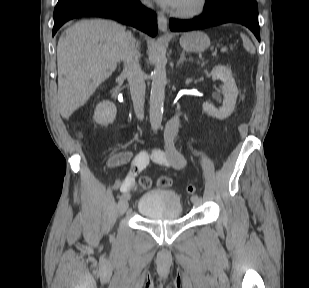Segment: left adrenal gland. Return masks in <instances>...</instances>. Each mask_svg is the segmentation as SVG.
Instances as JSON below:
<instances>
[{"label": "left adrenal gland", "mask_w": 309, "mask_h": 288, "mask_svg": "<svg viewBox=\"0 0 309 288\" xmlns=\"http://www.w3.org/2000/svg\"><path fill=\"white\" fill-rule=\"evenodd\" d=\"M187 60H190V59H187V58L185 57V52H184V51L181 52L180 58H179V60H178V62H177V66H179L181 63H183L184 61H187Z\"/></svg>", "instance_id": "left-adrenal-gland-1"}]
</instances>
